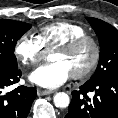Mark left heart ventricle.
Returning <instances> with one entry per match:
<instances>
[{"label":"left heart ventricle","instance_id":"1","mask_svg":"<svg viewBox=\"0 0 118 118\" xmlns=\"http://www.w3.org/2000/svg\"><path fill=\"white\" fill-rule=\"evenodd\" d=\"M92 55V48L87 44L69 54L54 51L50 56V61L63 64L72 74L83 71L90 63Z\"/></svg>","mask_w":118,"mask_h":118}]
</instances>
